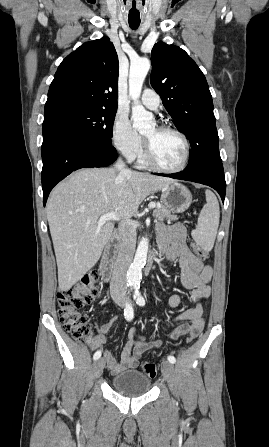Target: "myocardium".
<instances>
[{"label":"myocardium","instance_id":"myocardium-1","mask_svg":"<svg viewBox=\"0 0 269 447\" xmlns=\"http://www.w3.org/2000/svg\"><path fill=\"white\" fill-rule=\"evenodd\" d=\"M157 127L162 131H170V132L176 133L183 139L184 144H185L184 157H183L182 162L178 166L166 167V166L160 164L158 161H156L150 143L143 137L144 156H145L146 163L149 166H151L152 168H155V169H158V170H161L164 172H179V171L183 170L187 166L189 157H190L191 144H190V140H189L188 136L184 132L179 130L178 128H175L170 125L160 124V125H157Z\"/></svg>","mask_w":269,"mask_h":447}]
</instances>
